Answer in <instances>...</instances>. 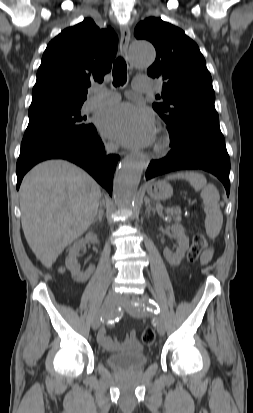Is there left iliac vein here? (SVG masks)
Here are the masks:
<instances>
[{"label": "left iliac vein", "instance_id": "4c4485c4", "mask_svg": "<svg viewBox=\"0 0 253 413\" xmlns=\"http://www.w3.org/2000/svg\"><path fill=\"white\" fill-rule=\"evenodd\" d=\"M135 303H138V300L135 297L130 299L127 296H121L119 298V304L124 307L130 315L137 318L146 316L147 312L145 311L144 307L135 305ZM157 331L161 336H163L165 333V323L161 318L157 319Z\"/></svg>", "mask_w": 253, "mask_h": 413}]
</instances>
